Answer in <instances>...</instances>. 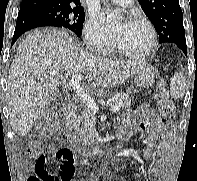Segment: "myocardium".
Instances as JSON below:
<instances>
[{
    "label": "myocardium",
    "instance_id": "obj_1",
    "mask_svg": "<svg viewBox=\"0 0 197 181\" xmlns=\"http://www.w3.org/2000/svg\"><path fill=\"white\" fill-rule=\"evenodd\" d=\"M129 21L143 24L149 30L151 34V42H150L148 49L140 53L128 51L118 43L115 37L113 41L114 50L118 54L128 57V58H132V59H143V58L150 56L156 50L157 43H158V34L154 25L148 19L138 16V15L131 16L129 18Z\"/></svg>",
    "mask_w": 197,
    "mask_h": 181
}]
</instances>
